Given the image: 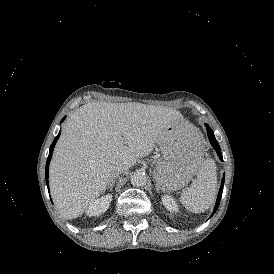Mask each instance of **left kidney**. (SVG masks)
<instances>
[{"mask_svg":"<svg viewBox=\"0 0 274 274\" xmlns=\"http://www.w3.org/2000/svg\"><path fill=\"white\" fill-rule=\"evenodd\" d=\"M161 199L163 205L167 210H169L170 212H178L179 208L174 198L168 195H163Z\"/></svg>","mask_w":274,"mask_h":274,"instance_id":"1","label":"left kidney"}]
</instances>
